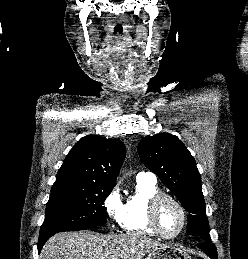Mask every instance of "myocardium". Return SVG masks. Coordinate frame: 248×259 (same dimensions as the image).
I'll list each match as a JSON object with an SVG mask.
<instances>
[{
    "instance_id": "f54148a6",
    "label": "myocardium",
    "mask_w": 248,
    "mask_h": 259,
    "mask_svg": "<svg viewBox=\"0 0 248 259\" xmlns=\"http://www.w3.org/2000/svg\"><path fill=\"white\" fill-rule=\"evenodd\" d=\"M164 200H170L172 201L180 210L181 216H182V224L180 229L175 233V234H167L165 233L160 224H159V220H158V210L160 207V204L164 201ZM148 218H149V223L151 225V227L153 228V230L160 235L163 238L166 239H173L178 237L185 229L186 224H187V213L186 210L184 208V206L182 205V203L174 196L167 194V193H163L160 192L158 194H156L149 202V207H148Z\"/></svg>"
}]
</instances>
